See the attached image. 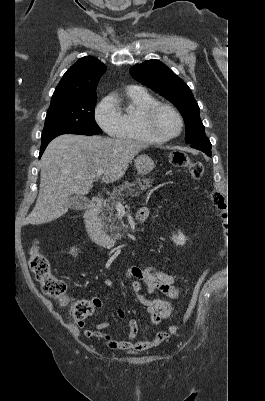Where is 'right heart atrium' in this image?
Returning a JSON list of instances; mask_svg holds the SVG:
<instances>
[{
    "instance_id": "d8ad5b80",
    "label": "right heart atrium",
    "mask_w": 265,
    "mask_h": 401,
    "mask_svg": "<svg viewBox=\"0 0 265 401\" xmlns=\"http://www.w3.org/2000/svg\"><path fill=\"white\" fill-rule=\"evenodd\" d=\"M94 117L98 125L109 134H116L120 128L121 117L112 96H105L99 101Z\"/></svg>"
}]
</instances>
